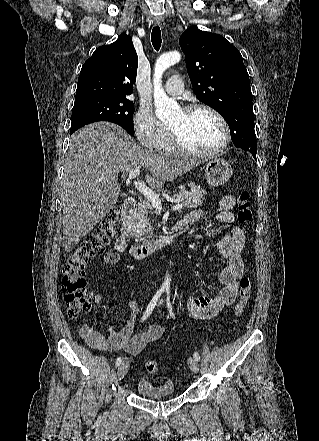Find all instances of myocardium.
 Segmentation results:
<instances>
[{
  "instance_id": "myocardium-1",
  "label": "myocardium",
  "mask_w": 319,
  "mask_h": 441,
  "mask_svg": "<svg viewBox=\"0 0 319 441\" xmlns=\"http://www.w3.org/2000/svg\"><path fill=\"white\" fill-rule=\"evenodd\" d=\"M199 110L207 111L208 113L212 114L219 121V123L222 126L223 133H224L223 142L217 148L210 150V151H205V152L195 151V150H192V149L188 148L187 146H185L182 143L179 136L177 135V133L175 131H173L170 127H168L170 142H171L173 150L179 154H182L185 156H190V157H196V158L213 157L215 155H218L219 153H221L222 151H224L228 147L230 140H231L230 128H229L228 122L223 117V115L219 111H217L215 108H213L209 105H206L203 103H193V104H189V105L185 106L182 109V111L187 114L193 113V112H196Z\"/></svg>"
}]
</instances>
